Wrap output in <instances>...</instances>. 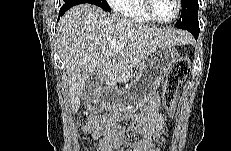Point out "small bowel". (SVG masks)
Listing matches in <instances>:
<instances>
[{
  "label": "small bowel",
  "instance_id": "obj_1",
  "mask_svg": "<svg viewBox=\"0 0 231 151\" xmlns=\"http://www.w3.org/2000/svg\"><path fill=\"white\" fill-rule=\"evenodd\" d=\"M138 138L130 142L125 135V125L118 115H91L85 131L98 141L100 151H156L155 143L164 141V117L160 113V97L154 95L148 105L131 117Z\"/></svg>",
  "mask_w": 231,
  "mask_h": 151
}]
</instances>
